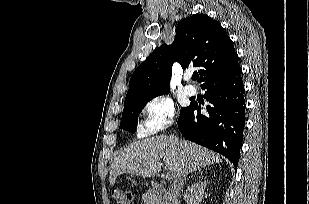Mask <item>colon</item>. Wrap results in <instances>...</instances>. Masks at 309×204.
Returning a JSON list of instances; mask_svg holds the SVG:
<instances>
[{
  "label": "colon",
  "mask_w": 309,
  "mask_h": 204,
  "mask_svg": "<svg viewBox=\"0 0 309 204\" xmlns=\"http://www.w3.org/2000/svg\"><path fill=\"white\" fill-rule=\"evenodd\" d=\"M113 197L117 204H131L133 193L127 189H116L113 192Z\"/></svg>",
  "instance_id": "5ec220e1"
}]
</instances>
